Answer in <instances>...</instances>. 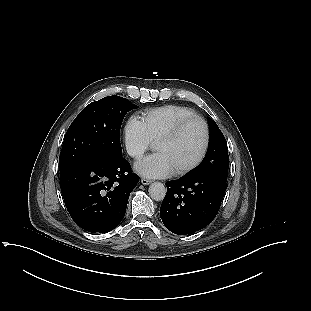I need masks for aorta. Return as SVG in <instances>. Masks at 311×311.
Listing matches in <instances>:
<instances>
[{
    "label": "aorta",
    "instance_id": "1",
    "mask_svg": "<svg viewBox=\"0 0 311 311\" xmlns=\"http://www.w3.org/2000/svg\"><path fill=\"white\" fill-rule=\"evenodd\" d=\"M149 195L155 201H161L166 196V188L161 182H153L149 186Z\"/></svg>",
    "mask_w": 311,
    "mask_h": 311
}]
</instances>
